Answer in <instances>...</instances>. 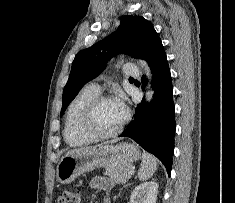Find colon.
Masks as SVG:
<instances>
[{"instance_id": "colon-1", "label": "colon", "mask_w": 235, "mask_h": 203, "mask_svg": "<svg viewBox=\"0 0 235 203\" xmlns=\"http://www.w3.org/2000/svg\"><path fill=\"white\" fill-rule=\"evenodd\" d=\"M81 193L78 190L67 188L59 196L58 203H80Z\"/></svg>"}]
</instances>
